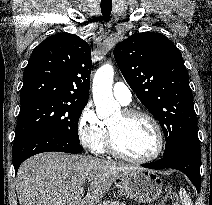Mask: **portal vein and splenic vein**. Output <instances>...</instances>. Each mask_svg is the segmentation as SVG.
Instances as JSON below:
<instances>
[{"label":"portal vein and splenic vein","instance_id":"obj_1","mask_svg":"<svg viewBox=\"0 0 212 205\" xmlns=\"http://www.w3.org/2000/svg\"><path fill=\"white\" fill-rule=\"evenodd\" d=\"M83 191H84V189H83V188H80V189L78 190V194L81 195V194L83 193Z\"/></svg>","mask_w":212,"mask_h":205}]
</instances>
